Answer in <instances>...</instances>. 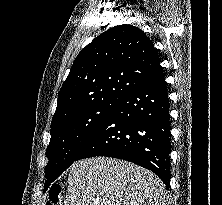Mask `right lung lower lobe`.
Segmentation results:
<instances>
[{"instance_id":"obj_1","label":"right lung lower lobe","mask_w":222,"mask_h":205,"mask_svg":"<svg viewBox=\"0 0 222 205\" xmlns=\"http://www.w3.org/2000/svg\"><path fill=\"white\" fill-rule=\"evenodd\" d=\"M169 108L162 72L131 90L119 102L77 160L94 156L127 160L153 171L168 188L171 166Z\"/></svg>"}]
</instances>
